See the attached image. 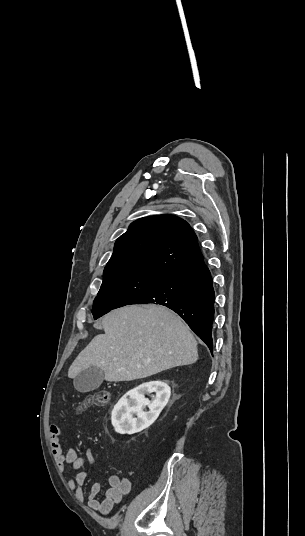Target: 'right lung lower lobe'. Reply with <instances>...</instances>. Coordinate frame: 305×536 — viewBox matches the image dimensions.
Returning <instances> with one entry per match:
<instances>
[{"mask_svg": "<svg viewBox=\"0 0 305 536\" xmlns=\"http://www.w3.org/2000/svg\"><path fill=\"white\" fill-rule=\"evenodd\" d=\"M214 289L204 261L183 267L169 275L132 304L157 303L180 315L212 352Z\"/></svg>", "mask_w": 305, "mask_h": 536, "instance_id": "1", "label": "right lung lower lobe"}]
</instances>
